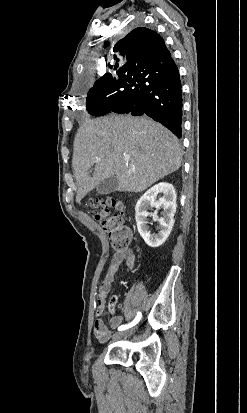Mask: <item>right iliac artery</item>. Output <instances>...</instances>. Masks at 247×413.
<instances>
[{
    "instance_id": "82829eb1",
    "label": "right iliac artery",
    "mask_w": 247,
    "mask_h": 413,
    "mask_svg": "<svg viewBox=\"0 0 247 413\" xmlns=\"http://www.w3.org/2000/svg\"><path fill=\"white\" fill-rule=\"evenodd\" d=\"M141 317H142L141 312H138L137 316L135 317V319L132 322H130L129 324H126V325H121L120 327H118V330L119 331H124L126 329H129V328L135 326L140 321Z\"/></svg>"
}]
</instances>
